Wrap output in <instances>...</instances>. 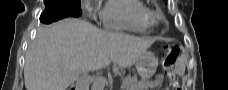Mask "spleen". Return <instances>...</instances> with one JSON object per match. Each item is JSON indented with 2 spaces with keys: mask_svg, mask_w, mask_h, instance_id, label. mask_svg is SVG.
Segmentation results:
<instances>
[{
  "mask_svg": "<svg viewBox=\"0 0 228 90\" xmlns=\"http://www.w3.org/2000/svg\"><path fill=\"white\" fill-rule=\"evenodd\" d=\"M185 72V63L183 61V59H179L177 61V67H176V73L179 75V76H182Z\"/></svg>",
  "mask_w": 228,
  "mask_h": 90,
  "instance_id": "1",
  "label": "spleen"
}]
</instances>
